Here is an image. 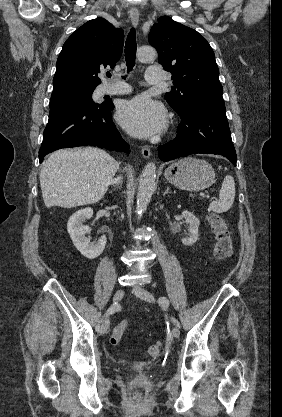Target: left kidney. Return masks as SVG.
Masks as SVG:
<instances>
[{
	"label": "left kidney",
	"instance_id": "5707ae66",
	"mask_svg": "<svg viewBox=\"0 0 282 417\" xmlns=\"http://www.w3.org/2000/svg\"><path fill=\"white\" fill-rule=\"evenodd\" d=\"M185 223L187 225V231H188V237H185V239H181L183 245H193V243H196L198 239V229L200 225L199 219L197 217H194L192 213H189V211H183L182 213Z\"/></svg>",
	"mask_w": 282,
	"mask_h": 417
}]
</instances>
